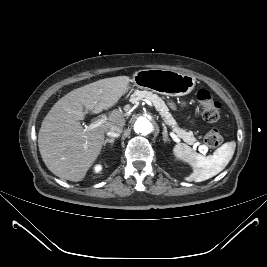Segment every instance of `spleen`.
Returning <instances> with one entry per match:
<instances>
[{"label": "spleen", "instance_id": "spleen-1", "mask_svg": "<svg viewBox=\"0 0 267 267\" xmlns=\"http://www.w3.org/2000/svg\"><path fill=\"white\" fill-rule=\"evenodd\" d=\"M236 148L235 141L227 142L219 147L213 155L203 156L194 152L184 143L173 148L175 156L190 164L193 173L185 179L189 182H202L219 174L232 159Z\"/></svg>", "mask_w": 267, "mask_h": 267}]
</instances>
